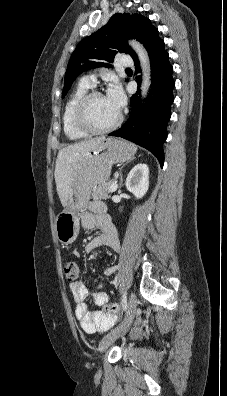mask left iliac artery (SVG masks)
<instances>
[{
  "mask_svg": "<svg viewBox=\"0 0 227 396\" xmlns=\"http://www.w3.org/2000/svg\"><path fill=\"white\" fill-rule=\"evenodd\" d=\"M126 295H127V293L125 292L121 299V304H122L124 311H126V309H127V296Z\"/></svg>",
  "mask_w": 227,
  "mask_h": 396,
  "instance_id": "left-iliac-artery-1",
  "label": "left iliac artery"
}]
</instances>
